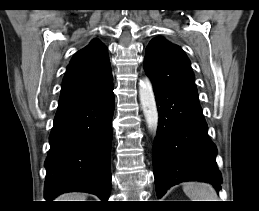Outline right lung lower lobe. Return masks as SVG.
Returning <instances> with one entry per match:
<instances>
[{
  "label": "right lung lower lobe",
  "instance_id": "obj_1",
  "mask_svg": "<svg viewBox=\"0 0 259 211\" xmlns=\"http://www.w3.org/2000/svg\"><path fill=\"white\" fill-rule=\"evenodd\" d=\"M113 112V86L91 99L58 107L45 161L47 201L72 191L108 200Z\"/></svg>",
  "mask_w": 259,
  "mask_h": 211
}]
</instances>
